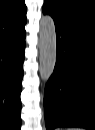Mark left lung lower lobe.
<instances>
[{
    "mask_svg": "<svg viewBox=\"0 0 95 130\" xmlns=\"http://www.w3.org/2000/svg\"><path fill=\"white\" fill-rule=\"evenodd\" d=\"M56 26L57 60L44 96L47 130H95V34L72 24Z\"/></svg>",
    "mask_w": 95,
    "mask_h": 130,
    "instance_id": "0a47b994",
    "label": "left lung lower lobe"
}]
</instances>
